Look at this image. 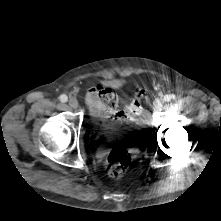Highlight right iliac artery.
<instances>
[{
    "mask_svg": "<svg viewBox=\"0 0 221 221\" xmlns=\"http://www.w3.org/2000/svg\"><path fill=\"white\" fill-rule=\"evenodd\" d=\"M59 99H60L61 102L64 103V102H67L68 97H67L66 95L63 94V95H61V96L59 97Z\"/></svg>",
    "mask_w": 221,
    "mask_h": 221,
    "instance_id": "right-iliac-artery-1",
    "label": "right iliac artery"
}]
</instances>
